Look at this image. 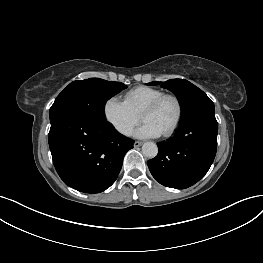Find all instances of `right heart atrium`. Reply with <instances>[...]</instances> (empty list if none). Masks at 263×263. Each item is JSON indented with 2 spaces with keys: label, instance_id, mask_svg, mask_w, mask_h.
Masks as SVG:
<instances>
[{
  "label": "right heart atrium",
  "instance_id": "right-heart-atrium-1",
  "mask_svg": "<svg viewBox=\"0 0 263 263\" xmlns=\"http://www.w3.org/2000/svg\"><path fill=\"white\" fill-rule=\"evenodd\" d=\"M103 114L105 120L124 136L129 135L140 121V115L117 96H112L105 101Z\"/></svg>",
  "mask_w": 263,
  "mask_h": 263
}]
</instances>
